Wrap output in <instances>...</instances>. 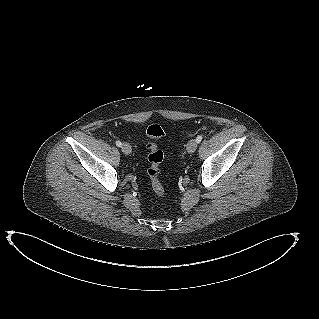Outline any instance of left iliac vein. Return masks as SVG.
<instances>
[{
	"instance_id": "4c4485c4",
	"label": "left iliac vein",
	"mask_w": 319,
	"mask_h": 319,
	"mask_svg": "<svg viewBox=\"0 0 319 319\" xmlns=\"http://www.w3.org/2000/svg\"><path fill=\"white\" fill-rule=\"evenodd\" d=\"M198 143L195 139H192L187 144L188 153H193L197 149Z\"/></svg>"
}]
</instances>
